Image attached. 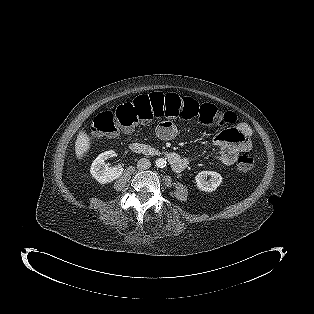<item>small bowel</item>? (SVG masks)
Returning a JSON list of instances; mask_svg holds the SVG:
<instances>
[{
  "label": "small bowel",
  "instance_id": "small-bowel-1",
  "mask_svg": "<svg viewBox=\"0 0 314 314\" xmlns=\"http://www.w3.org/2000/svg\"><path fill=\"white\" fill-rule=\"evenodd\" d=\"M225 121L222 124H210L226 126L235 123L236 116L233 112H224ZM176 124L171 120H164L156 128V135L161 140H171L177 135ZM252 130L246 123H239L232 128H226L214 138V146L218 153V160L225 165H233L237 157L251 150Z\"/></svg>",
  "mask_w": 314,
  "mask_h": 314
}]
</instances>
